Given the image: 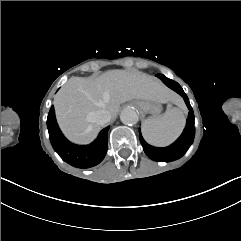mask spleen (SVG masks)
Listing matches in <instances>:
<instances>
[{"label": "spleen", "instance_id": "3e777b00", "mask_svg": "<svg viewBox=\"0 0 241 241\" xmlns=\"http://www.w3.org/2000/svg\"><path fill=\"white\" fill-rule=\"evenodd\" d=\"M184 126L183 112L168 104L163 115L151 116L143 122L142 134L149 144L164 147L173 143L180 136Z\"/></svg>", "mask_w": 241, "mask_h": 241}]
</instances>
